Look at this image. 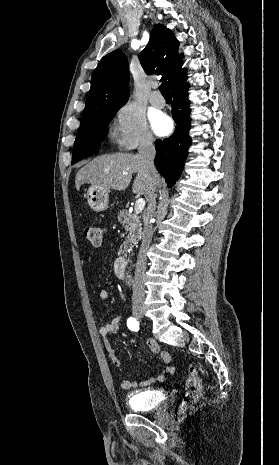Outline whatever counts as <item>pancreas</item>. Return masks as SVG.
<instances>
[{"instance_id":"pancreas-1","label":"pancreas","mask_w":279,"mask_h":465,"mask_svg":"<svg viewBox=\"0 0 279 465\" xmlns=\"http://www.w3.org/2000/svg\"><path fill=\"white\" fill-rule=\"evenodd\" d=\"M118 221L123 225L126 233V240L123 243V252L136 246L142 235V224L140 218L136 214H131L128 210L123 209L118 213Z\"/></svg>"}]
</instances>
